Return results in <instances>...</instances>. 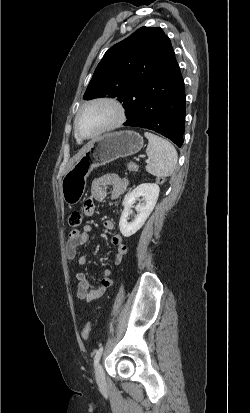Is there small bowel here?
I'll return each instance as SVG.
<instances>
[{
  "instance_id": "small-bowel-1",
  "label": "small bowel",
  "mask_w": 250,
  "mask_h": 413,
  "mask_svg": "<svg viewBox=\"0 0 250 413\" xmlns=\"http://www.w3.org/2000/svg\"><path fill=\"white\" fill-rule=\"evenodd\" d=\"M128 185L129 181L117 174H105L96 178L91 185V197H88L84 204V213L87 216H91L94 213V200H105L109 188H111V198L115 200L125 193ZM103 225L107 230H112L114 228V222L111 219H106ZM92 230V226L86 224L82 230L73 229L69 234L66 243V257L69 261L75 260L79 267L86 265L88 262L87 257L85 255H79L78 251L80 247L88 242ZM111 243L116 248L114 264L120 265L127 253V247L123 242L122 235L119 233L112 235ZM76 279L78 281L77 297L86 302H94L100 299L113 284L111 271L109 269L104 270L98 278L96 285H91L89 283L86 274L81 269L76 272Z\"/></svg>"
}]
</instances>
